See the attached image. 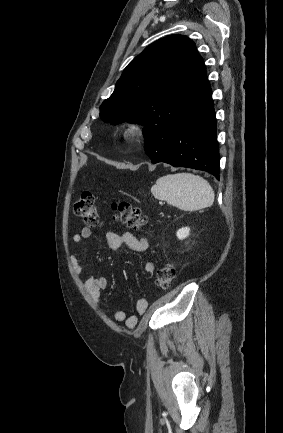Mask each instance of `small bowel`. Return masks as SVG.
Returning <instances> with one entry per match:
<instances>
[{"label":"small bowel","instance_id":"1","mask_svg":"<svg viewBox=\"0 0 283 433\" xmlns=\"http://www.w3.org/2000/svg\"><path fill=\"white\" fill-rule=\"evenodd\" d=\"M92 236V230L90 227H83L78 233L73 235V241L75 244L80 245L83 240L89 239ZM106 242L108 246L113 250L121 249L122 247H128L137 252H143L148 248V241L144 237H136L131 232L125 231L122 233H116L108 231L106 233ZM74 271L81 275L84 273V267L79 263L77 255H73L71 258ZM155 271L153 263L148 262L145 264V272L152 275ZM84 287L95 301H99L102 295V291L107 286V279L105 277H94L90 274L86 276L83 283ZM148 307V301L144 298L139 299L136 302V310L138 314H143ZM114 318L117 321L125 323L128 329L135 328L138 318L135 315L127 316L123 311H117L114 314Z\"/></svg>","mask_w":283,"mask_h":433}]
</instances>
